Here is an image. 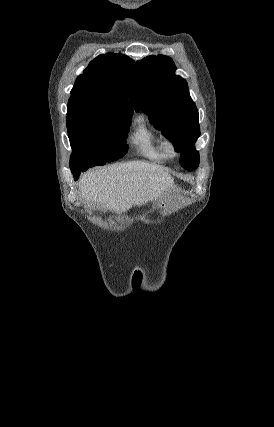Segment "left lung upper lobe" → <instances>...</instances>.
Listing matches in <instances>:
<instances>
[{
	"instance_id": "1",
	"label": "left lung upper lobe",
	"mask_w": 274,
	"mask_h": 427,
	"mask_svg": "<svg viewBox=\"0 0 274 427\" xmlns=\"http://www.w3.org/2000/svg\"><path fill=\"white\" fill-rule=\"evenodd\" d=\"M173 60L165 55L148 56L134 64L129 98L134 109L148 115L155 128L170 139L185 169H195L199 154L195 142L200 135L198 110L185 79L175 75Z\"/></svg>"
}]
</instances>
